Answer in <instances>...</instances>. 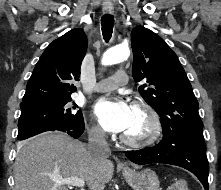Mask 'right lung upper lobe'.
Returning <instances> with one entry per match:
<instances>
[{
  "label": "right lung upper lobe",
  "mask_w": 221,
  "mask_h": 190,
  "mask_svg": "<svg viewBox=\"0 0 221 190\" xmlns=\"http://www.w3.org/2000/svg\"><path fill=\"white\" fill-rule=\"evenodd\" d=\"M86 50L87 38L81 28L54 40L37 62L20 106L70 97L76 91L72 82L79 79Z\"/></svg>",
  "instance_id": "obj_1"
}]
</instances>
